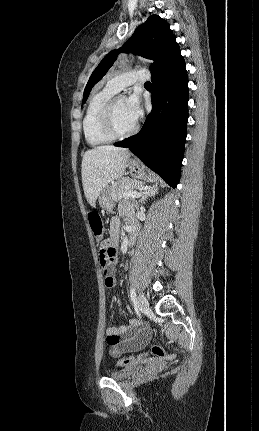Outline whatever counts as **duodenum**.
I'll return each mask as SVG.
<instances>
[{"label": "duodenum", "instance_id": "duodenum-1", "mask_svg": "<svg viewBox=\"0 0 259 431\" xmlns=\"http://www.w3.org/2000/svg\"><path fill=\"white\" fill-rule=\"evenodd\" d=\"M136 236H137V227L135 223L131 222L128 226L129 245H132L135 242Z\"/></svg>", "mask_w": 259, "mask_h": 431}]
</instances>
